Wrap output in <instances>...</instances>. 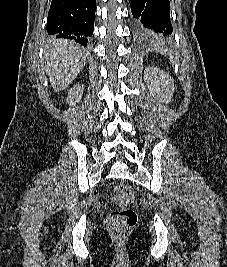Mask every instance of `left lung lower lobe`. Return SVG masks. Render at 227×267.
Returning <instances> with one entry per match:
<instances>
[{"instance_id": "left-lung-lower-lobe-1", "label": "left lung lower lobe", "mask_w": 227, "mask_h": 267, "mask_svg": "<svg viewBox=\"0 0 227 267\" xmlns=\"http://www.w3.org/2000/svg\"><path fill=\"white\" fill-rule=\"evenodd\" d=\"M131 12L139 36L162 37L172 34L169 0H131Z\"/></svg>"}]
</instances>
